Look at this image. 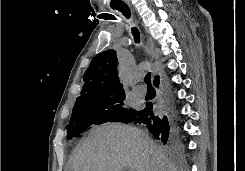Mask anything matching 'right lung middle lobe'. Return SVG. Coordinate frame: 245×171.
I'll return each mask as SVG.
<instances>
[{"mask_svg":"<svg viewBox=\"0 0 245 171\" xmlns=\"http://www.w3.org/2000/svg\"><path fill=\"white\" fill-rule=\"evenodd\" d=\"M125 93L76 100L71 122L67 127L68 138L79 136L94 125L106 122L129 123L138 111L123 108Z\"/></svg>","mask_w":245,"mask_h":171,"instance_id":"dd1d6c3e","label":"right lung middle lobe"}]
</instances>
